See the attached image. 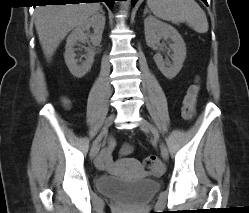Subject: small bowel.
Here are the masks:
<instances>
[{
	"label": "small bowel",
	"instance_id": "obj_1",
	"mask_svg": "<svg viewBox=\"0 0 249 213\" xmlns=\"http://www.w3.org/2000/svg\"><path fill=\"white\" fill-rule=\"evenodd\" d=\"M114 147H115V141L110 140L108 147L105 150L101 151V153L99 154L96 160V166L99 169L107 170V171H113L115 169L116 165L112 157V151ZM131 149L132 148L129 144H125L122 149V155L123 156L128 155L131 152Z\"/></svg>",
	"mask_w": 249,
	"mask_h": 213
}]
</instances>
